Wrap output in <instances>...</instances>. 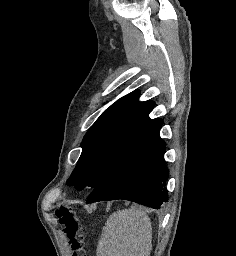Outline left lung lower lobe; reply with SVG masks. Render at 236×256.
Returning a JSON list of instances; mask_svg holds the SVG:
<instances>
[{"label": "left lung lower lobe", "mask_w": 236, "mask_h": 256, "mask_svg": "<svg viewBox=\"0 0 236 256\" xmlns=\"http://www.w3.org/2000/svg\"><path fill=\"white\" fill-rule=\"evenodd\" d=\"M163 121L149 119L129 141L107 176L86 203L125 199L159 208L167 201L169 171L164 162L165 142L159 130Z\"/></svg>", "instance_id": "left-lung-lower-lobe-1"}]
</instances>
